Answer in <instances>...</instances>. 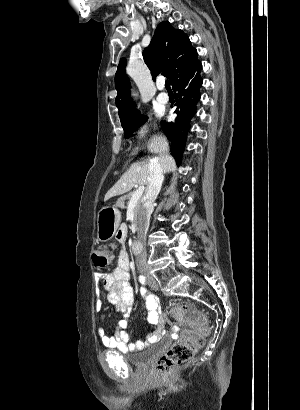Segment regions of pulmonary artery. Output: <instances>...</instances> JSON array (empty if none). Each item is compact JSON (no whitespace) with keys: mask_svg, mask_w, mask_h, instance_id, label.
I'll return each instance as SVG.
<instances>
[{"mask_svg":"<svg viewBox=\"0 0 300 410\" xmlns=\"http://www.w3.org/2000/svg\"><path fill=\"white\" fill-rule=\"evenodd\" d=\"M158 90L160 91L157 100L159 103L161 104H166L169 101V97L167 95V93L164 91V83L163 82H159L158 85Z\"/></svg>","mask_w":300,"mask_h":410,"instance_id":"obj_1","label":"pulmonary artery"}]
</instances>
